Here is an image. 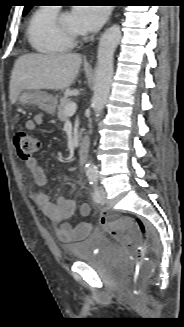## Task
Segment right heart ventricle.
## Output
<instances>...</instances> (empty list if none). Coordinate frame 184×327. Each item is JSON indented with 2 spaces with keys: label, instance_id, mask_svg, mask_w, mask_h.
Returning a JSON list of instances; mask_svg holds the SVG:
<instances>
[{
  "label": "right heart ventricle",
  "instance_id": "e07e8e85",
  "mask_svg": "<svg viewBox=\"0 0 184 327\" xmlns=\"http://www.w3.org/2000/svg\"><path fill=\"white\" fill-rule=\"evenodd\" d=\"M58 13L56 7H40L32 14L27 27V38L36 51L60 54L72 48L73 43L65 38L55 25Z\"/></svg>",
  "mask_w": 184,
  "mask_h": 327
}]
</instances>
